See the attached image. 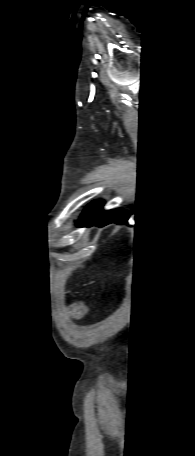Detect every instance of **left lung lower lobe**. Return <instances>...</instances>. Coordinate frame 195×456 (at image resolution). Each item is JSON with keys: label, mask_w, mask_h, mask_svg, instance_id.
Returning <instances> with one entry per match:
<instances>
[{"label": "left lung lower lobe", "mask_w": 195, "mask_h": 456, "mask_svg": "<svg viewBox=\"0 0 195 456\" xmlns=\"http://www.w3.org/2000/svg\"><path fill=\"white\" fill-rule=\"evenodd\" d=\"M103 201H93L88 204L82 212L79 220L77 221L78 226H104L109 223L121 224L128 219V215L123 210H110L103 211Z\"/></svg>", "instance_id": "1"}]
</instances>
